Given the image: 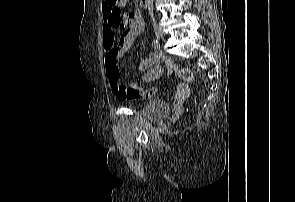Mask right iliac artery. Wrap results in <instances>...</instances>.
Masks as SVG:
<instances>
[{"instance_id": "obj_1", "label": "right iliac artery", "mask_w": 295, "mask_h": 202, "mask_svg": "<svg viewBox=\"0 0 295 202\" xmlns=\"http://www.w3.org/2000/svg\"><path fill=\"white\" fill-rule=\"evenodd\" d=\"M152 45L155 47V48H158L159 47V42L158 40H154Z\"/></svg>"}]
</instances>
